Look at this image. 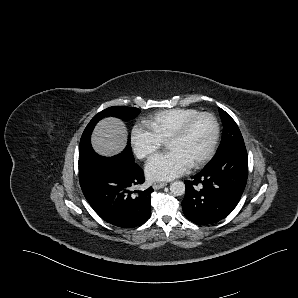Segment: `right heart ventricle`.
<instances>
[{"label": "right heart ventricle", "mask_w": 298, "mask_h": 298, "mask_svg": "<svg viewBox=\"0 0 298 298\" xmlns=\"http://www.w3.org/2000/svg\"><path fill=\"white\" fill-rule=\"evenodd\" d=\"M200 113L194 108H173L160 110L145 122L150 130L162 141L173 131L179 123Z\"/></svg>", "instance_id": "1"}]
</instances>
